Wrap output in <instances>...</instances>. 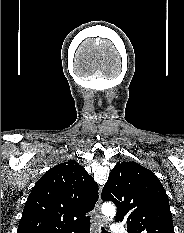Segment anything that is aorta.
Instances as JSON below:
<instances>
[{
	"label": "aorta",
	"mask_w": 184,
	"mask_h": 233,
	"mask_svg": "<svg viewBox=\"0 0 184 233\" xmlns=\"http://www.w3.org/2000/svg\"><path fill=\"white\" fill-rule=\"evenodd\" d=\"M101 210L107 220H112L116 214L115 206L110 202L104 203Z\"/></svg>",
	"instance_id": "1"
}]
</instances>
